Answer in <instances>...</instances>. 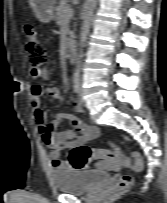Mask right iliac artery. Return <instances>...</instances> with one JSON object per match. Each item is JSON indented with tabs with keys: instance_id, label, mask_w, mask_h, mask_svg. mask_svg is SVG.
Here are the masks:
<instances>
[{
	"instance_id": "1",
	"label": "right iliac artery",
	"mask_w": 167,
	"mask_h": 203,
	"mask_svg": "<svg viewBox=\"0 0 167 203\" xmlns=\"http://www.w3.org/2000/svg\"><path fill=\"white\" fill-rule=\"evenodd\" d=\"M79 88H80L79 78H78V76H75L73 78V89H74V92L78 93L79 92Z\"/></svg>"
}]
</instances>
